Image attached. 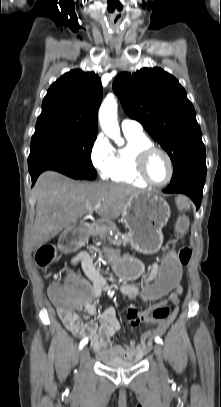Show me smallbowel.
Here are the masks:
<instances>
[{
  "mask_svg": "<svg viewBox=\"0 0 221 407\" xmlns=\"http://www.w3.org/2000/svg\"><path fill=\"white\" fill-rule=\"evenodd\" d=\"M71 265H80L90 281V286H83L79 289L80 305L83 307V310L88 317L94 318L97 309L91 299L100 297L107 289L108 282L96 269L91 256L87 252H79L71 260ZM158 271L159 264L153 263L150 266L148 273L141 278L139 285L131 282H123L119 287V292L129 299L141 298L140 294L143 291H147V284L151 283V280L157 277ZM74 277V274H69L67 279ZM163 293L164 296L168 295V298L160 297L159 301L156 302L153 308L151 305H136L135 307L132 306L129 308L128 320L131 325L136 326L145 325L147 323V318L142 315L151 314L153 309L158 305L166 307L169 301L173 305L165 317L155 319L154 328L142 335L139 344L131 341L127 347L112 345L111 343V338L120 329V323L112 306L107 307L101 313L98 323L95 320L82 322L79 315L75 312L67 314L59 312V314L68 330L78 338L88 339L90 346L98 354L107 358H123L127 360L140 359L150 349V340L155 336L163 334L178 314V304L182 293L181 286H176L175 292Z\"/></svg>",
  "mask_w": 221,
  "mask_h": 407,
  "instance_id": "1",
  "label": "small bowel"
}]
</instances>
